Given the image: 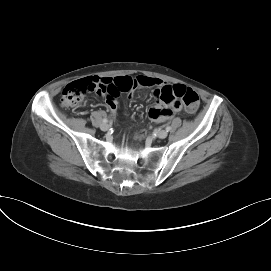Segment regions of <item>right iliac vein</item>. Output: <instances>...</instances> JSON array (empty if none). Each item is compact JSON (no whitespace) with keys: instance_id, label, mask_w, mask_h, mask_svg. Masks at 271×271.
<instances>
[{"instance_id":"right-iliac-vein-1","label":"right iliac vein","mask_w":271,"mask_h":271,"mask_svg":"<svg viewBox=\"0 0 271 271\" xmlns=\"http://www.w3.org/2000/svg\"><path fill=\"white\" fill-rule=\"evenodd\" d=\"M100 128L102 131H107L109 129V125L106 123H103V124H101Z\"/></svg>"}]
</instances>
